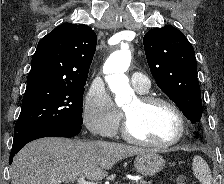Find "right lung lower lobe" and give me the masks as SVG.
<instances>
[{
	"label": "right lung lower lobe",
	"mask_w": 224,
	"mask_h": 184,
	"mask_svg": "<svg viewBox=\"0 0 224 184\" xmlns=\"http://www.w3.org/2000/svg\"><path fill=\"white\" fill-rule=\"evenodd\" d=\"M81 131V126L67 125V124H48L33 127L24 130L14 137L13 146L10 153L9 164L12 163L14 155L28 142L50 136L58 137H74Z\"/></svg>",
	"instance_id": "obj_1"
}]
</instances>
